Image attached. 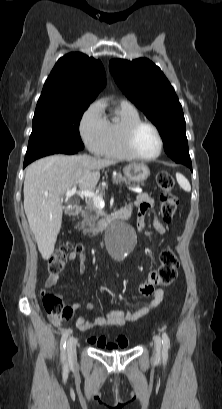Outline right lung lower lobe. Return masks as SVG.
Wrapping results in <instances>:
<instances>
[{
	"instance_id": "1",
	"label": "right lung lower lobe",
	"mask_w": 222,
	"mask_h": 409,
	"mask_svg": "<svg viewBox=\"0 0 222 409\" xmlns=\"http://www.w3.org/2000/svg\"><path fill=\"white\" fill-rule=\"evenodd\" d=\"M78 152V150L76 151V153ZM29 163L24 162L23 167H26Z\"/></svg>"
}]
</instances>
